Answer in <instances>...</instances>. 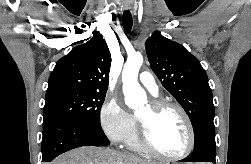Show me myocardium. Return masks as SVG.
Listing matches in <instances>:
<instances>
[{
  "instance_id": "1",
  "label": "myocardium",
  "mask_w": 251,
  "mask_h": 164,
  "mask_svg": "<svg viewBox=\"0 0 251 164\" xmlns=\"http://www.w3.org/2000/svg\"><path fill=\"white\" fill-rule=\"evenodd\" d=\"M150 106L155 113H159V112L166 110V109H173V110L177 111L181 115V117L183 118V120L186 124L187 130H188L189 140H188V146L183 153L176 155V156L164 154L152 142L149 126L146 123L142 122L138 118L139 140H140V143H141L142 147L144 148V150L147 153H149L157 158L167 160V161L182 160V159L186 158L188 155H190L192 153V151L194 150L196 137H195V130H194L192 121H191L189 115L187 114V112L184 110V108L177 103L165 101V100L153 101L150 104Z\"/></svg>"
}]
</instances>
